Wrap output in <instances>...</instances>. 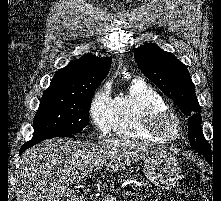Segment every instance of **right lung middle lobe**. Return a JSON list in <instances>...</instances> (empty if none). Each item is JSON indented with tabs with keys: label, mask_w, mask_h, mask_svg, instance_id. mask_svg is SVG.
<instances>
[{
	"label": "right lung middle lobe",
	"mask_w": 221,
	"mask_h": 201,
	"mask_svg": "<svg viewBox=\"0 0 221 201\" xmlns=\"http://www.w3.org/2000/svg\"><path fill=\"white\" fill-rule=\"evenodd\" d=\"M94 92L70 94L45 91L34 118L33 138L51 133L76 134L88 124Z\"/></svg>",
	"instance_id": "obj_1"
}]
</instances>
